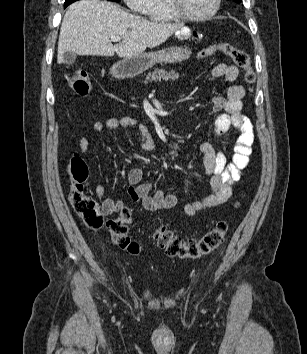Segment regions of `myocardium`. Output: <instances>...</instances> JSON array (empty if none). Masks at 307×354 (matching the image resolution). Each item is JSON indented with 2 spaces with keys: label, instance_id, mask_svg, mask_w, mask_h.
<instances>
[{
  "label": "myocardium",
  "instance_id": "myocardium-1",
  "mask_svg": "<svg viewBox=\"0 0 307 354\" xmlns=\"http://www.w3.org/2000/svg\"><path fill=\"white\" fill-rule=\"evenodd\" d=\"M222 0H215L214 5L210 11L201 15H192L185 11L183 7V0H168L169 7L173 14L182 20L189 21H204L212 18L217 14L221 7Z\"/></svg>",
  "mask_w": 307,
  "mask_h": 354
}]
</instances>
